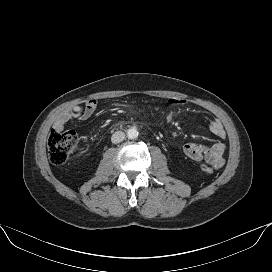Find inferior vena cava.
Instances as JSON below:
<instances>
[{"label": "inferior vena cava", "mask_w": 272, "mask_h": 272, "mask_svg": "<svg viewBox=\"0 0 272 272\" xmlns=\"http://www.w3.org/2000/svg\"><path fill=\"white\" fill-rule=\"evenodd\" d=\"M125 139V134L122 131L115 132L111 137V142L114 144L120 143Z\"/></svg>", "instance_id": "inferior-vena-cava-1"}]
</instances>
